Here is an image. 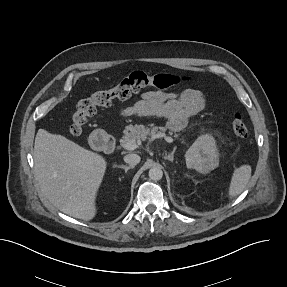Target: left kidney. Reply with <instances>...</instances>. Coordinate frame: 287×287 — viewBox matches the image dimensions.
I'll return each mask as SVG.
<instances>
[{"label": "left kidney", "instance_id": "5707ae66", "mask_svg": "<svg viewBox=\"0 0 287 287\" xmlns=\"http://www.w3.org/2000/svg\"><path fill=\"white\" fill-rule=\"evenodd\" d=\"M187 168L207 174L219 165V153L211 135H202L185 154Z\"/></svg>", "mask_w": 287, "mask_h": 287}]
</instances>
